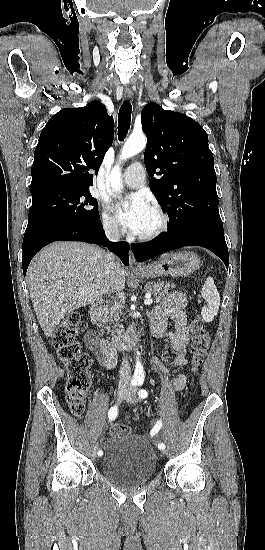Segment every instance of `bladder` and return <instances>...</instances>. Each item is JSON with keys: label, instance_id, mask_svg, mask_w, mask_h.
<instances>
[{"label": "bladder", "instance_id": "bladder-1", "mask_svg": "<svg viewBox=\"0 0 265 550\" xmlns=\"http://www.w3.org/2000/svg\"><path fill=\"white\" fill-rule=\"evenodd\" d=\"M101 470L112 481L133 486L155 474L157 457L148 440L137 434L111 438L101 453Z\"/></svg>", "mask_w": 265, "mask_h": 550}]
</instances>
